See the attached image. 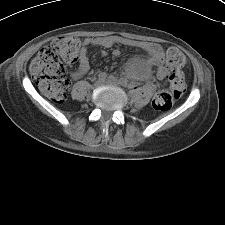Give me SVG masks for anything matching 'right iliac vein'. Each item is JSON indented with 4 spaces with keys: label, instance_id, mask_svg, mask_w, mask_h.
Wrapping results in <instances>:
<instances>
[{
    "label": "right iliac vein",
    "instance_id": "obj_1",
    "mask_svg": "<svg viewBox=\"0 0 225 225\" xmlns=\"http://www.w3.org/2000/svg\"><path fill=\"white\" fill-rule=\"evenodd\" d=\"M103 83H104L103 80H99V79H98V80L95 82L94 85H95L96 87H99V86H101Z\"/></svg>",
    "mask_w": 225,
    "mask_h": 225
}]
</instances>
